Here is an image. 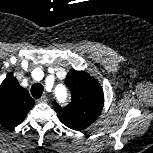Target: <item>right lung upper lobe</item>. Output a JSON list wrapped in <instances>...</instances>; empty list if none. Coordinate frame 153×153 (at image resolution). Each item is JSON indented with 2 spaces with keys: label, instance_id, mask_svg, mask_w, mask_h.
<instances>
[{
  "label": "right lung upper lobe",
  "instance_id": "obj_1",
  "mask_svg": "<svg viewBox=\"0 0 153 153\" xmlns=\"http://www.w3.org/2000/svg\"><path fill=\"white\" fill-rule=\"evenodd\" d=\"M34 104L28 91L9 74L0 86V122L8 127L20 124Z\"/></svg>",
  "mask_w": 153,
  "mask_h": 153
}]
</instances>
